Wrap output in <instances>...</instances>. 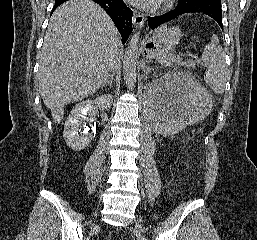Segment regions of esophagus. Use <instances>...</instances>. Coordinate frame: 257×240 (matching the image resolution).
Listing matches in <instances>:
<instances>
[{"instance_id": "34e87169", "label": "esophagus", "mask_w": 257, "mask_h": 240, "mask_svg": "<svg viewBox=\"0 0 257 240\" xmlns=\"http://www.w3.org/2000/svg\"><path fill=\"white\" fill-rule=\"evenodd\" d=\"M145 22V16L144 14L138 13L135 14L133 17V24L135 27H142L144 25Z\"/></svg>"}]
</instances>
